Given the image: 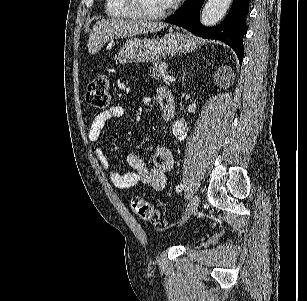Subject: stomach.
Segmentation results:
<instances>
[{"label": "stomach", "instance_id": "obj_1", "mask_svg": "<svg viewBox=\"0 0 307 301\" xmlns=\"http://www.w3.org/2000/svg\"><path fill=\"white\" fill-rule=\"evenodd\" d=\"M193 36L181 34V32H169L165 36L157 38H143L132 36L125 40L116 54V60L120 64L126 62H159L166 54L173 52H191L196 48Z\"/></svg>", "mask_w": 307, "mask_h": 301}]
</instances>
